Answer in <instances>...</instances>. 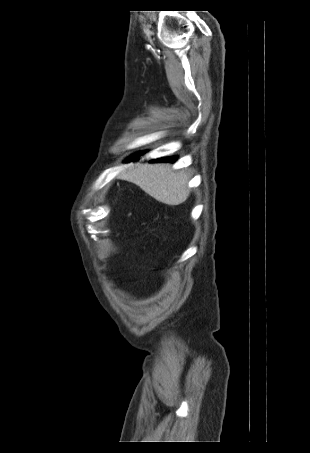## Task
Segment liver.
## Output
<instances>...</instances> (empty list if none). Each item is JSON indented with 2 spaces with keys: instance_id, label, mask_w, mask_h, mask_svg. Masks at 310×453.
I'll list each match as a JSON object with an SVG mask.
<instances>
[{
  "instance_id": "obj_1",
  "label": "liver",
  "mask_w": 310,
  "mask_h": 453,
  "mask_svg": "<svg viewBox=\"0 0 310 453\" xmlns=\"http://www.w3.org/2000/svg\"><path fill=\"white\" fill-rule=\"evenodd\" d=\"M120 179L132 182L157 201L176 206L189 196V177L174 172L169 164H144L123 172Z\"/></svg>"
}]
</instances>
